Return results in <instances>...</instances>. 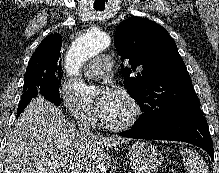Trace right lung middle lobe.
I'll list each match as a JSON object with an SVG mask.
<instances>
[{
	"label": "right lung middle lobe",
	"instance_id": "1",
	"mask_svg": "<svg viewBox=\"0 0 219 173\" xmlns=\"http://www.w3.org/2000/svg\"><path fill=\"white\" fill-rule=\"evenodd\" d=\"M63 73L56 67L29 65L24 75L23 94L40 93L55 105L61 103L59 86Z\"/></svg>",
	"mask_w": 219,
	"mask_h": 173
}]
</instances>
